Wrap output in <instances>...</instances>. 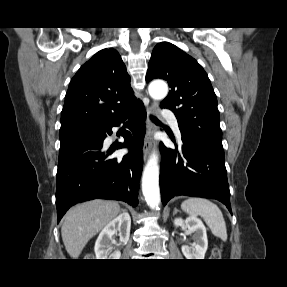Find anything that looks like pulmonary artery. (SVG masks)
I'll list each match as a JSON object with an SVG mask.
<instances>
[{
	"mask_svg": "<svg viewBox=\"0 0 287 287\" xmlns=\"http://www.w3.org/2000/svg\"><path fill=\"white\" fill-rule=\"evenodd\" d=\"M162 113H163L164 116H167V117L170 118L171 125H172L173 129L175 130V132L177 134H179L180 131H179V126H178L177 119L172 115L171 111L168 110V109H164Z\"/></svg>",
	"mask_w": 287,
	"mask_h": 287,
	"instance_id": "pulmonary-artery-1",
	"label": "pulmonary artery"
}]
</instances>
